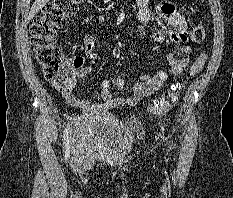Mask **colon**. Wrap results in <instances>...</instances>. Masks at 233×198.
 Returning <instances> with one entry per match:
<instances>
[{"instance_id": "1", "label": "colon", "mask_w": 233, "mask_h": 198, "mask_svg": "<svg viewBox=\"0 0 233 198\" xmlns=\"http://www.w3.org/2000/svg\"><path fill=\"white\" fill-rule=\"evenodd\" d=\"M79 2L80 0H53L44 7L30 27L36 58L46 80L55 90L64 94H70L73 90L77 82V73L65 64L63 54L55 43V37L59 28L75 14ZM204 35L205 30L201 24H197L190 31L193 42H200ZM206 60L207 55L202 53L190 67L188 77L197 75ZM184 86V84L175 86L165 97L155 100L149 106L150 112L155 115L166 114L178 101Z\"/></svg>"}]
</instances>
